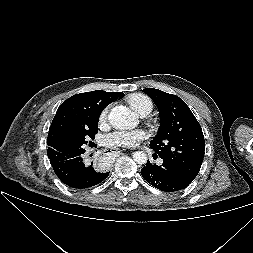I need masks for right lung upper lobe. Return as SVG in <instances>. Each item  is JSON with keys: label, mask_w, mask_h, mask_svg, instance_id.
I'll use <instances>...</instances> for the list:
<instances>
[{"label": "right lung upper lobe", "mask_w": 253, "mask_h": 253, "mask_svg": "<svg viewBox=\"0 0 253 253\" xmlns=\"http://www.w3.org/2000/svg\"><path fill=\"white\" fill-rule=\"evenodd\" d=\"M122 92L96 90L73 95L58 108L48 133V151L53 150L57 139L68 132L89 128L93 119Z\"/></svg>", "instance_id": "1"}]
</instances>
